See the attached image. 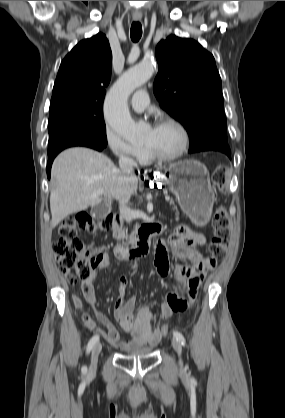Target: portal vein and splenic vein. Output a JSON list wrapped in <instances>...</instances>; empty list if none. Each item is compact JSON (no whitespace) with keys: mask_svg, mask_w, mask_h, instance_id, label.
I'll return each mask as SVG.
<instances>
[{"mask_svg":"<svg viewBox=\"0 0 285 418\" xmlns=\"http://www.w3.org/2000/svg\"><path fill=\"white\" fill-rule=\"evenodd\" d=\"M98 193L104 194L102 191H100V192H98ZM108 198H109V199H111V197H109V196H108ZM165 199H166L167 201H169V200H170V198H169V197H166Z\"/></svg>","mask_w":285,"mask_h":418,"instance_id":"portal-vein-and-splenic-vein-1","label":"portal vein and splenic vein"}]
</instances>
